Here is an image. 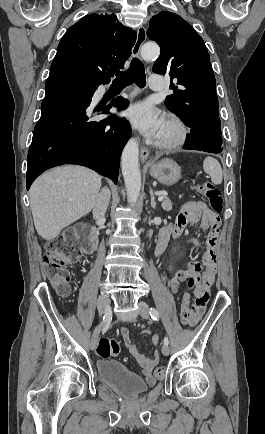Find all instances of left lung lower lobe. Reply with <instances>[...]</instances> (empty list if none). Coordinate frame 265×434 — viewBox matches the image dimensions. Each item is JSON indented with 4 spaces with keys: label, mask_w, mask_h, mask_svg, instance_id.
Listing matches in <instances>:
<instances>
[{
    "label": "left lung lower lobe",
    "mask_w": 265,
    "mask_h": 434,
    "mask_svg": "<svg viewBox=\"0 0 265 434\" xmlns=\"http://www.w3.org/2000/svg\"><path fill=\"white\" fill-rule=\"evenodd\" d=\"M183 148L209 153H221L223 151L222 137L205 135L197 132V129H193L190 130V134L187 135L186 144Z\"/></svg>",
    "instance_id": "0a47b994"
}]
</instances>
